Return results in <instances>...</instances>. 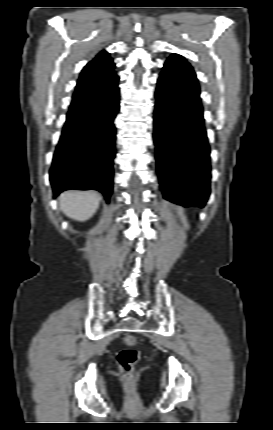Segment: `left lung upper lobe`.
Returning a JSON list of instances; mask_svg holds the SVG:
<instances>
[{
	"mask_svg": "<svg viewBox=\"0 0 273 430\" xmlns=\"http://www.w3.org/2000/svg\"><path fill=\"white\" fill-rule=\"evenodd\" d=\"M162 74L169 76L184 75L180 88L184 91L200 95L198 79L192 66L180 55L172 54L165 62Z\"/></svg>",
	"mask_w": 273,
	"mask_h": 430,
	"instance_id": "obj_1",
	"label": "left lung upper lobe"
}]
</instances>
